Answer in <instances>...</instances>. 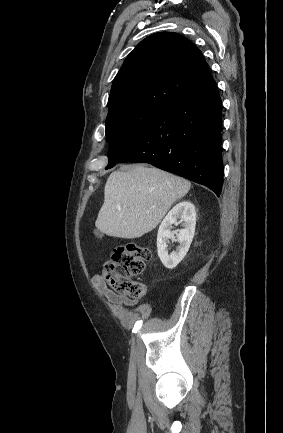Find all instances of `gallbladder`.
I'll list each match as a JSON object with an SVG mask.
<instances>
[{"mask_svg": "<svg viewBox=\"0 0 283 433\" xmlns=\"http://www.w3.org/2000/svg\"><path fill=\"white\" fill-rule=\"evenodd\" d=\"M94 235H96V237H99V239H101V237H103L104 233H101V231H98V229H96V231H94Z\"/></svg>", "mask_w": 283, "mask_h": 433, "instance_id": "gallbladder-1", "label": "gallbladder"}]
</instances>
